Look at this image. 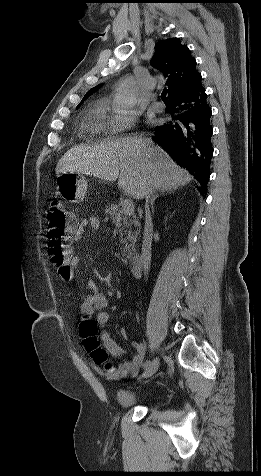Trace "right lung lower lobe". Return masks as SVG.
Wrapping results in <instances>:
<instances>
[{"instance_id": "obj_1", "label": "right lung lower lobe", "mask_w": 261, "mask_h": 476, "mask_svg": "<svg viewBox=\"0 0 261 476\" xmlns=\"http://www.w3.org/2000/svg\"><path fill=\"white\" fill-rule=\"evenodd\" d=\"M172 118L154 128L153 140L183 168H186L206 193L213 156L211 109L201 83L170 100Z\"/></svg>"}]
</instances>
